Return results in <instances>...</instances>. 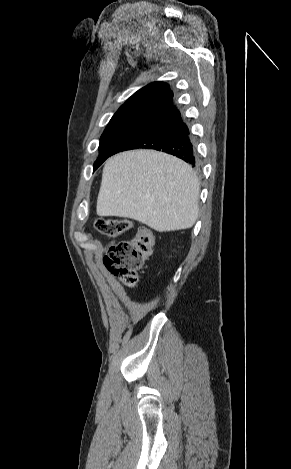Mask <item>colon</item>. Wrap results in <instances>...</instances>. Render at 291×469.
<instances>
[{
	"label": "colon",
	"instance_id": "obj_1",
	"mask_svg": "<svg viewBox=\"0 0 291 469\" xmlns=\"http://www.w3.org/2000/svg\"><path fill=\"white\" fill-rule=\"evenodd\" d=\"M132 223L127 219H98L95 229L108 237H118L128 231ZM154 235L141 226L131 239L113 243L104 256L105 267L128 287H135L138 274L152 254Z\"/></svg>",
	"mask_w": 291,
	"mask_h": 469
}]
</instances>
